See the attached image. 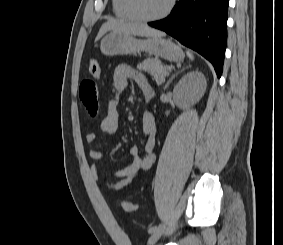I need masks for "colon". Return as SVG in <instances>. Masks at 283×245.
Returning <instances> with one entry per match:
<instances>
[{
  "label": "colon",
  "mask_w": 283,
  "mask_h": 245,
  "mask_svg": "<svg viewBox=\"0 0 283 245\" xmlns=\"http://www.w3.org/2000/svg\"><path fill=\"white\" fill-rule=\"evenodd\" d=\"M88 73L93 79L99 78L100 75V67L96 60H91L88 66ZM123 209L127 213H133L137 210V205L131 201H124L122 203Z\"/></svg>",
  "instance_id": "colon-1"
}]
</instances>
